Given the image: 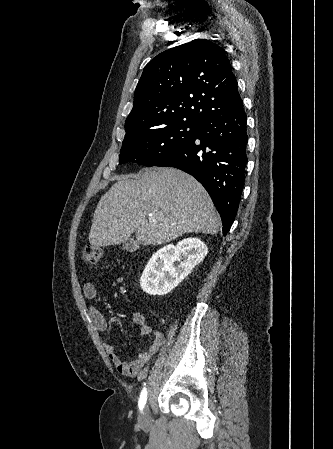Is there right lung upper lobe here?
<instances>
[{
  "instance_id": "right-lung-upper-lobe-1",
  "label": "right lung upper lobe",
  "mask_w": 333,
  "mask_h": 449,
  "mask_svg": "<svg viewBox=\"0 0 333 449\" xmlns=\"http://www.w3.org/2000/svg\"><path fill=\"white\" fill-rule=\"evenodd\" d=\"M240 97L225 51L207 39L166 50L144 68L125 139L173 121L200 123Z\"/></svg>"
}]
</instances>
